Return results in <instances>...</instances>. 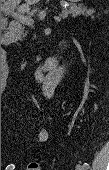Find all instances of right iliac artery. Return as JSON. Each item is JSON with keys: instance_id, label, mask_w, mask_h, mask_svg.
<instances>
[{"instance_id": "82829eb1", "label": "right iliac artery", "mask_w": 109, "mask_h": 170, "mask_svg": "<svg viewBox=\"0 0 109 170\" xmlns=\"http://www.w3.org/2000/svg\"><path fill=\"white\" fill-rule=\"evenodd\" d=\"M15 166L14 164H10L6 167V170H14Z\"/></svg>"}]
</instances>
